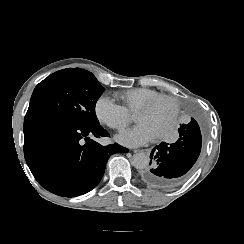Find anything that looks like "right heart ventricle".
<instances>
[{"label":"right heart ventricle","instance_id":"1","mask_svg":"<svg viewBox=\"0 0 244 244\" xmlns=\"http://www.w3.org/2000/svg\"><path fill=\"white\" fill-rule=\"evenodd\" d=\"M114 96L120 99L127 109L132 112L141 107L144 101H149L152 97H162L158 92L146 88H137L126 92H115Z\"/></svg>","mask_w":244,"mask_h":244}]
</instances>
